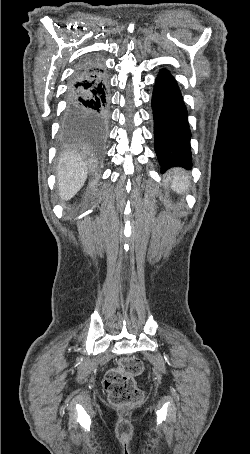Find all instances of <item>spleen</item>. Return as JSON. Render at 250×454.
<instances>
[{"label": "spleen", "instance_id": "spleen-1", "mask_svg": "<svg viewBox=\"0 0 250 454\" xmlns=\"http://www.w3.org/2000/svg\"><path fill=\"white\" fill-rule=\"evenodd\" d=\"M172 179V189L177 193H183L189 187V176L188 174L181 170L175 169L173 172L169 174L167 177V181Z\"/></svg>", "mask_w": 250, "mask_h": 454}]
</instances>
